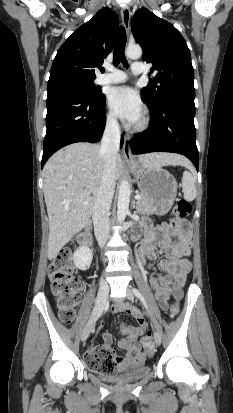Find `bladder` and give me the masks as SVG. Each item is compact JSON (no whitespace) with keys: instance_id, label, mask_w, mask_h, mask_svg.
<instances>
[{"instance_id":"obj_1","label":"bladder","mask_w":233,"mask_h":413,"mask_svg":"<svg viewBox=\"0 0 233 413\" xmlns=\"http://www.w3.org/2000/svg\"><path fill=\"white\" fill-rule=\"evenodd\" d=\"M149 367L144 363H140L137 365H133L128 368H124L122 371L114 373V374H106L101 373L99 374L107 381L111 382H127L142 378L149 372Z\"/></svg>"}]
</instances>
